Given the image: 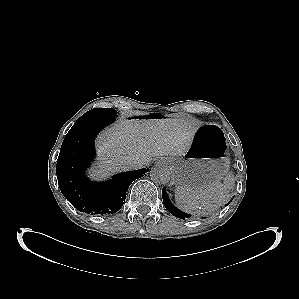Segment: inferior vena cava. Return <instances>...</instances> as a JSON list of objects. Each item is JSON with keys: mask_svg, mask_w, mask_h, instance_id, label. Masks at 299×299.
<instances>
[{"mask_svg": "<svg viewBox=\"0 0 299 299\" xmlns=\"http://www.w3.org/2000/svg\"><path fill=\"white\" fill-rule=\"evenodd\" d=\"M146 164L147 163L144 161L134 160L129 163V168L130 169H139V168H142L143 166H145Z\"/></svg>", "mask_w": 299, "mask_h": 299, "instance_id": "obj_1", "label": "inferior vena cava"}]
</instances>
